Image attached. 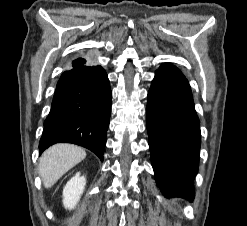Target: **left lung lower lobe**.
Instances as JSON below:
<instances>
[{"mask_svg":"<svg viewBox=\"0 0 247 226\" xmlns=\"http://www.w3.org/2000/svg\"><path fill=\"white\" fill-rule=\"evenodd\" d=\"M147 130L157 184L166 197H195L200 123L188 81L165 63L156 71L148 93Z\"/></svg>","mask_w":247,"mask_h":226,"instance_id":"1","label":"left lung lower lobe"}]
</instances>
